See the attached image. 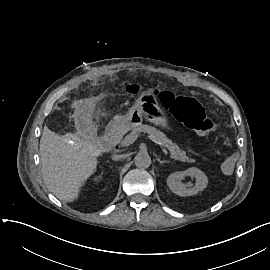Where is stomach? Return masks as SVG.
<instances>
[{
  "mask_svg": "<svg viewBox=\"0 0 270 270\" xmlns=\"http://www.w3.org/2000/svg\"><path fill=\"white\" fill-rule=\"evenodd\" d=\"M143 118L162 127H168L167 118L160 107L152 90L143 92L121 118V125L126 130H131L142 124Z\"/></svg>",
  "mask_w": 270,
  "mask_h": 270,
  "instance_id": "0dacf381",
  "label": "stomach"
}]
</instances>
